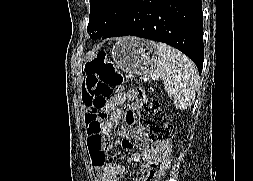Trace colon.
Masks as SVG:
<instances>
[{"mask_svg": "<svg viewBox=\"0 0 253 181\" xmlns=\"http://www.w3.org/2000/svg\"><path fill=\"white\" fill-rule=\"evenodd\" d=\"M91 55L94 56L84 67L87 87L85 102L92 115L88 120L103 122L106 117L108 99L114 94L116 87L122 83V78L116 68L106 60L109 50H97L93 47ZM136 100L139 125L147 132L149 139L158 144L160 150L159 157L150 164L144 181H158L168 167L170 140L176 130L168 123L156 99L149 97L145 91L138 90ZM92 131L99 134V130Z\"/></svg>", "mask_w": 253, "mask_h": 181, "instance_id": "1", "label": "colon"}]
</instances>
